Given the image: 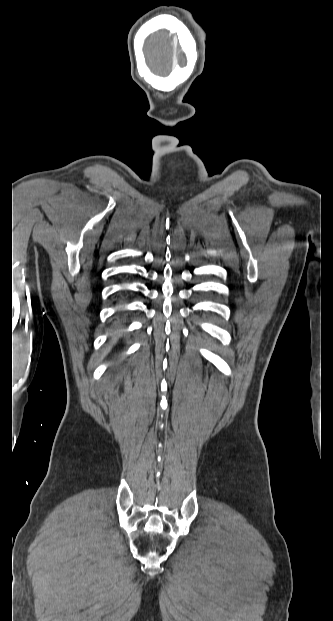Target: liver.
<instances>
[{
    "instance_id": "obj_1",
    "label": "liver",
    "mask_w": 333,
    "mask_h": 621,
    "mask_svg": "<svg viewBox=\"0 0 333 621\" xmlns=\"http://www.w3.org/2000/svg\"><path fill=\"white\" fill-rule=\"evenodd\" d=\"M120 335H121V333H119V332L114 333V334L112 335V336H113V338H112V341H111L110 345H109V346H108V348H107V349L103 352V354L101 355V357H100V359H99V360H102V359L106 356V354H108V353L110 352V350H111V348H112L113 344H115V342L117 341V339H118V337H119Z\"/></svg>"
}]
</instances>
